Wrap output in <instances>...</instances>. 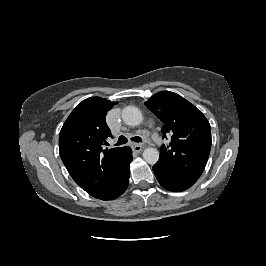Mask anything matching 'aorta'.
<instances>
[{"label": "aorta", "instance_id": "762f6f07", "mask_svg": "<svg viewBox=\"0 0 266 266\" xmlns=\"http://www.w3.org/2000/svg\"><path fill=\"white\" fill-rule=\"evenodd\" d=\"M122 119L129 126H137L142 123L143 115L135 106H127L122 110ZM143 159L148 164L154 165L159 160V151L148 147L143 151Z\"/></svg>", "mask_w": 266, "mask_h": 266}]
</instances>
